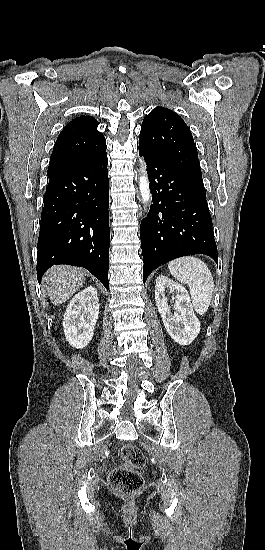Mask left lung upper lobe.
Returning <instances> with one entry per match:
<instances>
[{
    "instance_id": "obj_1",
    "label": "left lung upper lobe",
    "mask_w": 265,
    "mask_h": 550,
    "mask_svg": "<svg viewBox=\"0 0 265 550\" xmlns=\"http://www.w3.org/2000/svg\"><path fill=\"white\" fill-rule=\"evenodd\" d=\"M139 146L203 182L191 131L172 110L156 107L144 118Z\"/></svg>"
}]
</instances>
